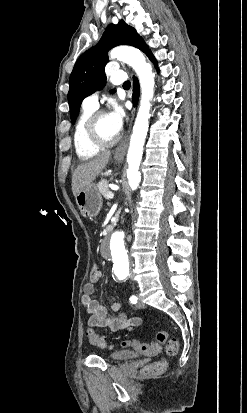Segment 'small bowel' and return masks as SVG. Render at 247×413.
<instances>
[{"mask_svg":"<svg viewBox=\"0 0 247 413\" xmlns=\"http://www.w3.org/2000/svg\"><path fill=\"white\" fill-rule=\"evenodd\" d=\"M98 282H86L83 287L82 304L88 314L87 325L89 327H108L113 332L130 331L142 323L141 317L129 318L125 312H120V304L111 299L110 314L105 307L95 298Z\"/></svg>","mask_w":247,"mask_h":413,"instance_id":"obj_1","label":"small bowel"}]
</instances>
